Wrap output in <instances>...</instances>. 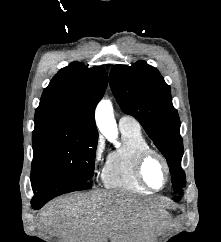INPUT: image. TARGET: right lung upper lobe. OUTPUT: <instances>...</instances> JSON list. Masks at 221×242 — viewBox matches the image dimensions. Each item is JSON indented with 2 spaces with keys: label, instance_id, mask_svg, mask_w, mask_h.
<instances>
[{
  "label": "right lung upper lobe",
  "instance_id": "1",
  "mask_svg": "<svg viewBox=\"0 0 221 242\" xmlns=\"http://www.w3.org/2000/svg\"><path fill=\"white\" fill-rule=\"evenodd\" d=\"M108 77L102 67L73 62L61 69L43 91L35 112V127L70 125L97 133L94 111Z\"/></svg>",
  "mask_w": 221,
  "mask_h": 242
}]
</instances>
